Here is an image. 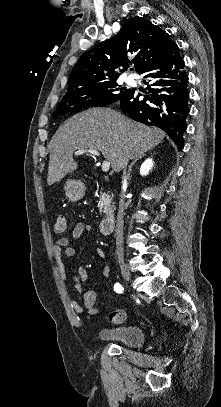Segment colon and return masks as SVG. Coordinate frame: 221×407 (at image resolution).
Here are the masks:
<instances>
[{
    "label": "colon",
    "mask_w": 221,
    "mask_h": 407,
    "mask_svg": "<svg viewBox=\"0 0 221 407\" xmlns=\"http://www.w3.org/2000/svg\"><path fill=\"white\" fill-rule=\"evenodd\" d=\"M55 230L59 234H63L67 231V221L64 216H59L56 221ZM95 302H96V293L93 290H90L86 293L84 300L85 306L88 308L90 313H95ZM126 315L125 311L121 309L112 310L109 313V319L111 322L116 324H121L125 321Z\"/></svg>",
    "instance_id": "colon-1"
}]
</instances>
